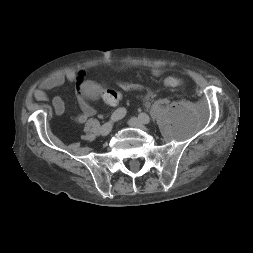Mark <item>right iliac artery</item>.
Masks as SVG:
<instances>
[{
    "label": "right iliac artery",
    "instance_id": "1",
    "mask_svg": "<svg viewBox=\"0 0 253 253\" xmlns=\"http://www.w3.org/2000/svg\"><path fill=\"white\" fill-rule=\"evenodd\" d=\"M126 113H127V111L125 108H118L111 115V118H110L111 122H115V121L122 119L126 115Z\"/></svg>",
    "mask_w": 253,
    "mask_h": 253
}]
</instances>
